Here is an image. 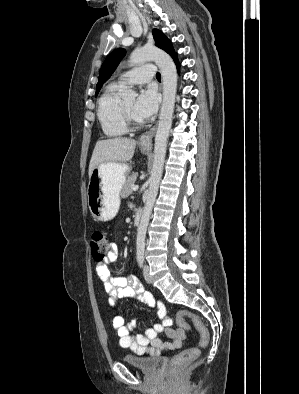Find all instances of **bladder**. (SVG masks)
I'll use <instances>...</instances> for the list:
<instances>
[{
	"mask_svg": "<svg viewBox=\"0 0 299 394\" xmlns=\"http://www.w3.org/2000/svg\"><path fill=\"white\" fill-rule=\"evenodd\" d=\"M123 362L144 373L154 372L160 365L161 359L158 357L139 356L126 354L122 358Z\"/></svg>",
	"mask_w": 299,
	"mask_h": 394,
	"instance_id": "bladder-1",
	"label": "bladder"
}]
</instances>
